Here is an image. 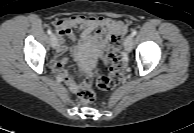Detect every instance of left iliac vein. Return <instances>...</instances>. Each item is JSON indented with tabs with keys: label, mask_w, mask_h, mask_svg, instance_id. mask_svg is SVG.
<instances>
[{
	"label": "left iliac vein",
	"mask_w": 194,
	"mask_h": 133,
	"mask_svg": "<svg viewBox=\"0 0 194 133\" xmlns=\"http://www.w3.org/2000/svg\"><path fill=\"white\" fill-rule=\"evenodd\" d=\"M133 37L131 35L127 36L124 42V47L127 52L132 50Z\"/></svg>",
	"instance_id": "4c4485c4"
}]
</instances>
